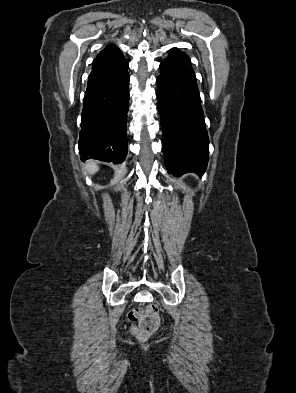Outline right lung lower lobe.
I'll return each instance as SVG.
<instances>
[{
	"label": "right lung lower lobe",
	"mask_w": 296,
	"mask_h": 393,
	"mask_svg": "<svg viewBox=\"0 0 296 393\" xmlns=\"http://www.w3.org/2000/svg\"><path fill=\"white\" fill-rule=\"evenodd\" d=\"M128 62L115 45H108L93 61L81 115V160L98 159L120 164L128 145Z\"/></svg>",
	"instance_id": "right-lung-lower-lobe-1"
}]
</instances>
